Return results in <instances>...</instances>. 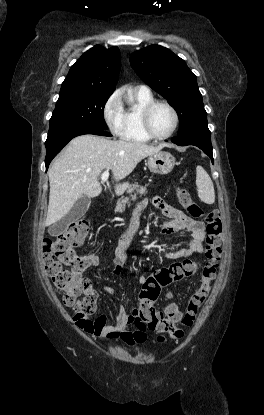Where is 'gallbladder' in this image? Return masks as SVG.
I'll list each match as a JSON object with an SVG mask.
<instances>
[{
	"label": "gallbladder",
	"instance_id": "1",
	"mask_svg": "<svg viewBox=\"0 0 264 415\" xmlns=\"http://www.w3.org/2000/svg\"><path fill=\"white\" fill-rule=\"evenodd\" d=\"M90 204L91 200L88 197L81 196L76 201L71 210L68 212V214L61 221L58 222V232L63 231V226L67 225L70 222L78 221L81 217H83L87 212Z\"/></svg>",
	"mask_w": 264,
	"mask_h": 415
}]
</instances>
